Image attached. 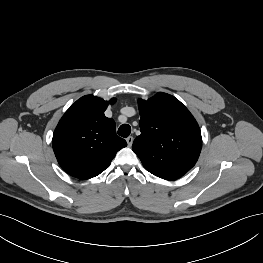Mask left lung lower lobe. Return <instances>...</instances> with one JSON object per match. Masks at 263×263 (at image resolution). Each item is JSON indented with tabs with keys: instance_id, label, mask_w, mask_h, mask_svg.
Returning a JSON list of instances; mask_svg holds the SVG:
<instances>
[{
	"instance_id": "obj_1",
	"label": "left lung lower lobe",
	"mask_w": 263,
	"mask_h": 263,
	"mask_svg": "<svg viewBox=\"0 0 263 263\" xmlns=\"http://www.w3.org/2000/svg\"><path fill=\"white\" fill-rule=\"evenodd\" d=\"M183 175H180L176 172L173 171H168L167 174H165L163 177H161L162 179H166V180H176L180 177H182Z\"/></svg>"
}]
</instances>
